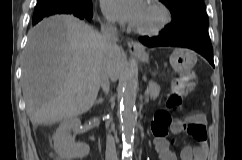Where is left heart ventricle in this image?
<instances>
[{
    "label": "left heart ventricle",
    "instance_id": "b2bd125f",
    "mask_svg": "<svg viewBox=\"0 0 242 160\" xmlns=\"http://www.w3.org/2000/svg\"><path fill=\"white\" fill-rule=\"evenodd\" d=\"M160 18V12L145 2L136 27H153L158 24Z\"/></svg>",
    "mask_w": 242,
    "mask_h": 160
}]
</instances>
